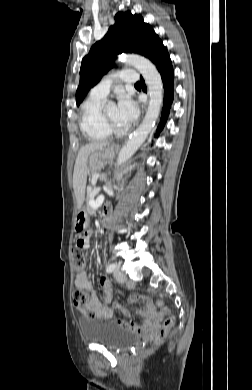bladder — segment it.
Segmentation results:
<instances>
[{"label":"bladder","instance_id":"31cf9c89","mask_svg":"<svg viewBox=\"0 0 252 390\" xmlns=\"http://www.w3.org/2000/svg\"><path fill=\"white\" fill-rule=\"evenodd\" d=\"M81 332L88 342L122 351L139 341L131 331L97 317L81 319Z\"/></svg>","mask_w":252,"mask_h":390}]
</instances>
